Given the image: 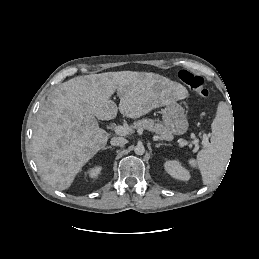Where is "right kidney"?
Masks as SVG:
<instances>
[{
    "mask_svg": "<svg viewBox=\"0 0 259 259\" xmlns=\"http://www.w3.org/2000/svg\"><path fill=\"white\" fill-rule=\"evenodd\" d=\"M101 169H102L101 166H96V167H94V168H91V169L89 170L88 174H89V176H90L91 178H95V177H97V176L100 174Z\"/></svg>",
    "mask_w": 259,
    "mask_h": 259,
    "instance_id": "right-kidney-1",
    "label": "right kidney"
}]
</instances>
